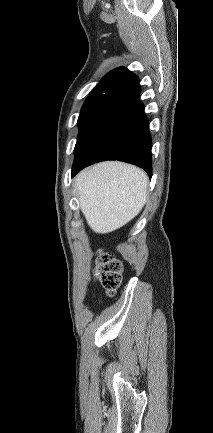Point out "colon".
I'll return each instance as SVG.
<instances>
[{
    "label": "colon",
    "mask_w": 213,
    "mask_h": 433,
    "mask_svg": "<svg viewBox=\"0 0 213 433\" xmlns=\"http://www.w3.org/2000/svg\"><path fill=\"white\" fill-rule=\"evenodd\" d=\"M95 275L109 295H113L121 284L122 264L111 253L99 252L95 260Z\"/></svg>",
    "instance_id": "1"
}]
</instances>
